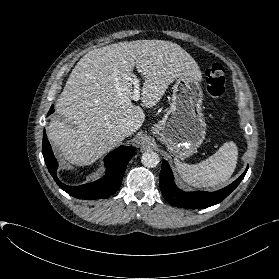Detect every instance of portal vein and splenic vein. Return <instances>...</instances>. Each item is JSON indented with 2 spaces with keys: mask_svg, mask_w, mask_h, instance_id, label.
<instances>
[{
  "mask_svg": "<svg viewBox=\"0 0 279 279\" xmlns=\"http://www.w3.org/2000/svg\"><path fill=\"white\" fill-rule=\"evenodd\" d=\"M134 90L132 92V99L134 101H138L140 98V87H139V81L137 78H134L133 80Z\"/></svg>",
  "mask_w": 279,
  "mask_h": 279,
  "instance_id": "obj_1",
  "label": "portal vein and splenic vein"
}]
</instances>
